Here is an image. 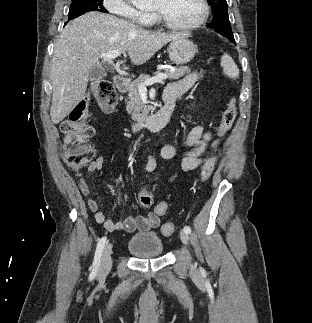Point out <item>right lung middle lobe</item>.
Listing matches in <instances>:
<instances>
[{
    "label": "right lung middle lobe",
    "instance_id": "right-lung-middle-lobe-1",
    "mask_svg": "<svg viewBox=\"0 0 312 323\" xmlns=\"http://www.w3.org/2000/svg\"><path fill=\"white\" fill-rule=\"evenodd\" d=\"M102 2L103 0H72L68 21L88 11L107 12Z\"/></svg>",
    "mask_w": 312,
    "mask_h": 323
}]
</instances>
